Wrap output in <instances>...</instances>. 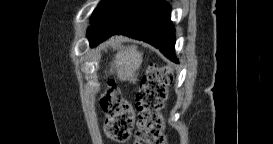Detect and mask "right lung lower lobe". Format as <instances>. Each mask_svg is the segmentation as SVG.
I'll use <instances>...</instances> for the list:
<instances>
[{
    "mask_svg": "<svg viewBox=\"0 0 273 144\" xmlns=\"http://www.w3.org/2000/svg\"><path fill=\"white\" fill-rule=\"evenodd\" d=\"M170 12L171 7L165 0H118L89 34L90 46L111 35L122 34L153 45L178 63Z\"/></svg>",
    "mask_w": 273,
    "mask_h": 144,
    "instance_id": "obj_1",
    "label": "right lung lower lobe"
}]
</instances>
